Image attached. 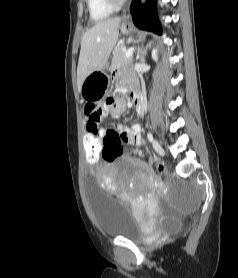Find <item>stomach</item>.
Returning a JSON list of instances; mask_svg holds the SVG:
<instances>
[{"label":"stomach","mask_w":238,"mask_h":278,"mask_svg":"<svg viewBox=\"0 0 238 278\" xmlns=\"http://www.w3.org/2000/svg\"><path fill=\"white\" fill-rule=\"evenodd\" d=\"M123 34H130L133 27L123 23L120 27ZM109 86V69L103 68L89 74L82 83L80 94L86 101H97L100 99Z\"/></svg>","instance_id":"stomach-1"}]
</instances>
